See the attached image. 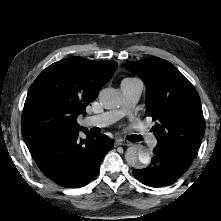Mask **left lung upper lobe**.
Returning a JSON list of instances; mask_svg holds the SVG:
<instances>
[{"label": "left lung upper lobe", "mask_w": 221, "mask_h": 221, "mask_svg": "<svg viewBox=\"0 0 221 221\" xmlns=\"http://www.w3.org/2000/svg\"><path fill=\"white\" fill-rule=\"evenodd\" d=\"M123 65L146 86V115L156 121L151 131L161 147L192 162L205 132L198 93L170 62L151 57Z\"/></svg>", "instance_id": "obj_1"}]
</instances>
